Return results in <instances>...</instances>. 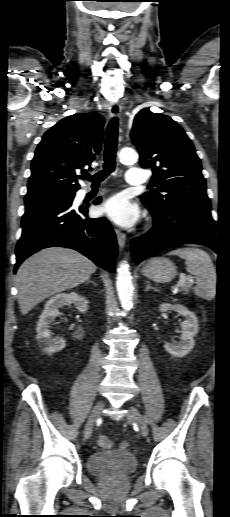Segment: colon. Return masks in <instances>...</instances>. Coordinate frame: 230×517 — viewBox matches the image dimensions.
<instances>
[{"instance_id":"obj_1","label":"colon","mask_w":230,"mask_h":517,"mask_svg":"<svg viewBox=\"0 0 230 517\" xmlns=\"http://www.w3.org/2000/svg\"><path fill=\"white\" fill-rule=\"evenodd\" d=\"M98 443H99V445H100L102 448H105V449H109V448H111V447H112V445H113V444H112V441H111L108 437H106V436H104V435H101V436L98 438ZM128 447H129V443H128L127 441H121V442L119 443V448H120L121 450H127V449H128Z\"/></svg>"}]
</instances>
